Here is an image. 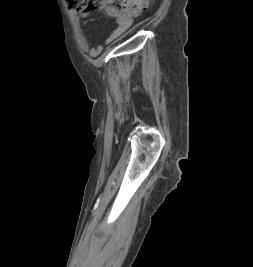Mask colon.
<instances>
[{
  "instance_id": "5ec220e1",
  "label": "colon",
  "mask_w": 253,
  "mask_h": 267,
  "mask_svg": "<svg viewBox=\"0 0 253 267\" xmlns=\"http://www.w3.org/2000/svg\"><path fill=\"white\" fill-rule=\"evenodd\" d=\"M66 7L76 12H90L103 8L114 0H65ZM148 0H119L118 9L126 16H139L147 7Z\"/></svg>"
}]
</instances>
